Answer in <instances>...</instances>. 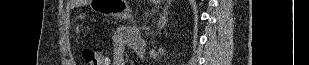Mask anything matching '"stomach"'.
I'll return each instance as SVG.
<instances>
[{
	"mask_svg": "<svg viewBox=\"0 0 309 65\" xmlns=\"http://www.w3.org/2000/svg\"><path fill=\"white\" fill-rule=\"evenodd\" d=\"M92 6L97 13L120 18L127 11V0H94Z\"/></svg>",
	"mask_w": 309,
	"mask_h": 65,
	"instance_id": "0dacf381",
	"label": "stomach"
}]
</instances>
